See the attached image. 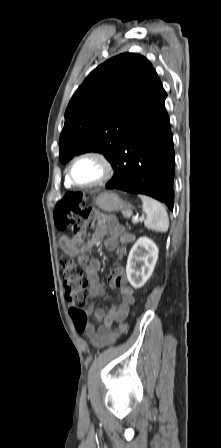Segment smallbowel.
Here are the masks:
<instances>
[{"label": "small bowel", "instance_id": "obj_1", "mask_svg": "<svg viewBox=\"0 0 221 448\" xmlns=\"http://www.w3.org/2000/svg\"><path fill=\"white\" fill-rule=\"evenodd\" d=\"M96 220L95 231L87 246L91 247L104 241L108 250L117 249L118 255L122 256L126 251V245L134 240V235L122 227L113 217L98 213L96 214ZM59 245L67 255L86 259L81 236H73L72 238L62 236ZM100 266L97 259L90 260L86 266L88 289L91 297H99L105 294V290L97 277ZM108 282L111 287L118 290V302H112L107 312L101 308H95L93 305H89L86 309V312L92 315L93 321L97 324L95 326L94 323H88L85 331L89 341L96 347H106L113 344L126 331L124 327L126 324L114 327L113 323L123 322L128 316L130 306L135 301L134 291L126 285L121 267H116L113 270Z\"/></svg>", "mask_w": 221, "mask_h": 448}]
</instances>
